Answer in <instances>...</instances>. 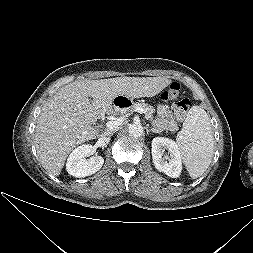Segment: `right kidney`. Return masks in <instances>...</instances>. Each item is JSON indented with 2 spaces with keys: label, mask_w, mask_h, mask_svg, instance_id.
<instances>
[{
  "label": "right kidney",
  "mask_w": 253,
  "mask_h": 253,
  "mask_svg": "<svg viewBox=\"0 0 253 253\" xmlns=\"http://www.w3.org/2000/svg\"><path fill=\"white\" fill-rule=\"evenodd\" d=\"M94 147L90 144H83L72 151L66 163L67 172L77 178L86 177L94 174L101 169L104 159L101 156H93Z\"/></svg>",
  "instance_id": "ca27d5eb"
}]
</instances>
